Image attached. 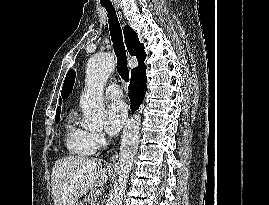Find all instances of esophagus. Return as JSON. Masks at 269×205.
Wrapping results in <instances>:
<instances>
[{
    "label": "esophagus",
    "mask_w": 269,
    "mask_h": 205,
    "mask_svg": "<svg viewBox=\"0 0 269 205\" xmlns=\"http://www.w3.org/2000/svg\"><path fill=\"white\" fill-rule=\"evenodd\" d=\"M116 160H117V153H115V154L111 157L110 162H111V163H116Z\"/></svg>",
    "instance_id": "34e87169"
}]
</instances>
